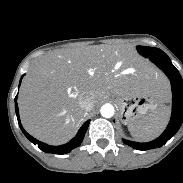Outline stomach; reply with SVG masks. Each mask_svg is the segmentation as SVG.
<instances>
[{
  "instance_id": "obj_1",
  "label": "stomach",
  "mask_w": 183,
  "mask_h": 183,
  "mask_svg": "<svg viewBox=\"0 0 183 183\" xmlns=\"http://www.w3.org/2000/svg\"><path fill=\"white\" fill-rule=\"evenodd\" d=\"M119 109V116L124 124H136L138 120L152 113L161 104L150 93H140L131 96L114 94Z\"/></svg>"
}]
</instances>
